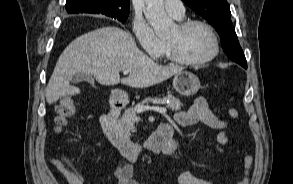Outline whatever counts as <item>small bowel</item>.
<instances>
[{"label": "small bowel", "instance_id": "c3829d8e", "mask_svg": "<svg viewBox=\"0 0 293 184\" xmlns=\"http://www.w3.org/2000/svg\"><path fill=\"white\" fill-rule=\"evenodd\" d=\"M175 121L181 126H191L198 122L219 131L217 142L218 144H225L228 141L226 128V121L217 117L209 108L208 103L203 97H198L187 110L179 111L174 115ZM178 140H173V147L170 151L163 155L171 154L178 146ZM56 168L65 176L69 184H83L81 176L77 169L72 164H62L55 162ZM133 168L124 161H121L113 171L111 178L116 184H139L132 179ZM177 184H212L210 180L200 178L191 172H182L177 179Z\"/></svg>", "mask_w": 293, "mask_h": 184}]
</instances>
